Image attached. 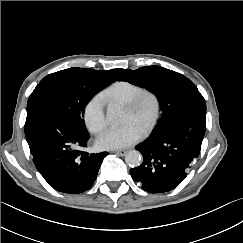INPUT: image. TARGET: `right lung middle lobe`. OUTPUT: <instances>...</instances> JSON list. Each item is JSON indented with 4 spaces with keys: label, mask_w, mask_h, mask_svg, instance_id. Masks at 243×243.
I'll return each instance as SVG.
<instances>
[{
    "label": "right lung middle lobe",
    "mask_w": 243,
    "mask_h": 243,
    "mask_svg": "<svg viewBox=\"0 0 243 243\" xmlns=\"http://www.w3.org/2000/svg\"><path fill=\"white\" fill-rule=\"evenodd\" d=\"M111 82L84 77L70 69L44 77L30 95L27 108L45 106L64 114L81 132L87 133L83 114L86 104Z\"/></svg>",
    "instance_id": "1"
}]
</instances>
